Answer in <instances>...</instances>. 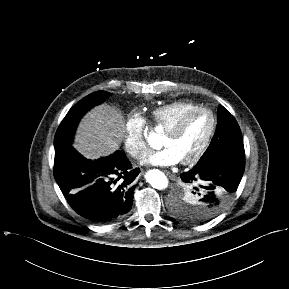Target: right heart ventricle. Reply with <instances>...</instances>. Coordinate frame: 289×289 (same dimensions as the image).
Returning <instances> with one entry per match:
<instances>
[{"mask_svg":"<svg viewBox=\"0 0 289 289\" xmlns=\"http://www.w3.org/2000/svg\"><path fill=\"white\" fill-rule=\"evenodd\" d=\"M198 107L189 101H175L154 108L151 118L157 127L166 132L183 114Z\"/></svg>","mask_w":289,"mask_h":289,"instance_id":"obj_1","label":"right heart ventricle"}]
</instances>
